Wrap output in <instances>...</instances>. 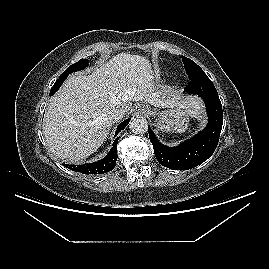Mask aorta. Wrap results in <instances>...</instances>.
<instances>
[{
    "label": "aorta",
    "mask_w": 269,
    "mask_h": 269,
    "mask_svg": "<svg viewBox=\"0 0 269 269\" xmlns=\"http://www.w3.org/2000/svg\"><path fill=\"white\" fill-rule=\"evenodd\" d=\"M129 128L134 134H144L148 130L147 120L144 118H134L130 122Z\"/></svg>",
    "instance_id": "1"
}]
</instances>
